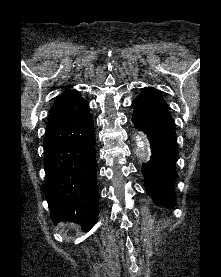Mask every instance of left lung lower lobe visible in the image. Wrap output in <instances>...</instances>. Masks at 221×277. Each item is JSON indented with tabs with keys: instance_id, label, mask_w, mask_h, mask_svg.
<instances>
[{
	"instance_id": "1",
	"label": "left lung lower lobe",
	"mask_w": 221,
	"mask_h": 277,
	"mask_svg": "<svg viewBox=\"0 0 221 277\" xmlns=\"http://www.w3.org/2000/svg\"><path fill=\"white\" fill-rule=\"evenodd\" d=\"M132 106V122L147 134L152 153L151 160L142 167L145 188L159 205L173 206L178 148L168 106L152 88H145L132 102Z\"/></svg>"
}]
</instances>
